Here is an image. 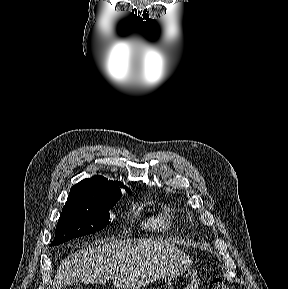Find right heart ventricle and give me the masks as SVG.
Instances as JSON below:
<instances>
[{
    "label": "right heart ventricle",
    "mask_w": 288,
    "mask_h": 289,
    "mask_svg": "<svg viewBox=\"0 0 288 289\" xmlns=\"http://www.w3.org/2000/svg\"><path fill=\"white\" fill-rule=\"evenodd\" d=\"M181 212L170 202L160 205L158 212L149 219V226L160 230L172 229L180 220Z\"/></svg>",
    "instance_id": "right-heart-ventricle-1"
}]
</instances>
